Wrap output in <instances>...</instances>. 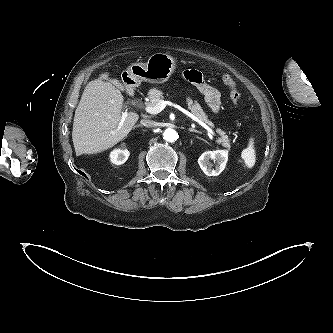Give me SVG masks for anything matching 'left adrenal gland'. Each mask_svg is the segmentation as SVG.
I'll list each match as a JSON object with an SVG mask.
<instances>
[{"label": "left adrenal gland", "mask_w": 333, "mask_h": 333, "mask_svg": "<svg viewBox=\"0 0 333 333\" xmlns=\"http://www.w3.org/2000/svg\"><path fill=\"white\" fill-rule=\"evenodd\" d=\"M188 131H189V132H195V133H199V134H201L200 131H198V130H196V129H193V128H189Z\"/></svg>", "instance_id": "a2214340"}]
</instances>
